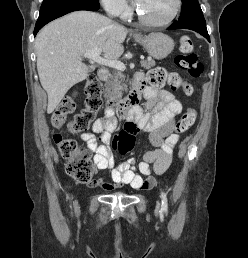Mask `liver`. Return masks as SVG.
Here are the masks:
<instances>
[{"mask_svg":"<svg viewBox=\"0 0 248 258\" xmlns=\"http://www.w3.org/2000/svg\"><path fill=\"white\" fill-rule=\"evenodd\" d=\"M127 33V28L98 13L75 11L37 34V70L48 95V114L73 85L87 78L89 68L82 63L84 54L100 49L105 59L116 60L123 54Z\"/></svg>","mask_w":248,"mask_h":258,"instance_id":"1","label":"liver"}]
</instances>
